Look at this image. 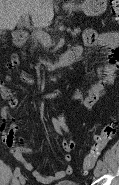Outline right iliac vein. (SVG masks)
Wrapping results in <instances>:
<instances>
[{
  "label": "right iliac vein",
  "instance_id": "right-iliac-vein-1",
  "mask_svg": "<svg viewBox=\"0 0 119 185\" xmlns=\"http://www.w3.org/2000/svg\"><path fill=\"white\" fill-rule=\"evenodd\" d=\"M19 182H20L21 185H24L25 177L23 175H19Z\"/></svg>",
  "mask_w": 119,
  "mask_h": 185
}]
</instances>
